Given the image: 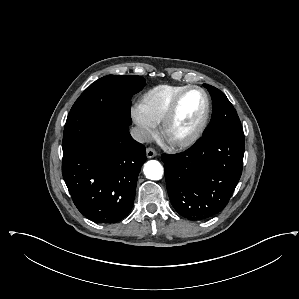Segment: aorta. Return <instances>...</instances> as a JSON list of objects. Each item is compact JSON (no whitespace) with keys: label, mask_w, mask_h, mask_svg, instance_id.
I'll use <instances>...</instances> for the list:
<instances>
[{"label":"aorta","mask_w":299,"mask_h":299,"mask_svg":"<svg viewBox=\"0 0 299 299\" xmlns=\"http://www.w3.org/2000/svg\"><path fill=\"white\" fill-rule=\"evenodd\" d=\"M144 175L150 180H159L163 175V167L159 161L150 160L143 168Z\"/></svg>","instance_id":"762f6f07"}]
</instances>
